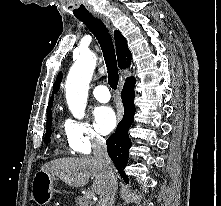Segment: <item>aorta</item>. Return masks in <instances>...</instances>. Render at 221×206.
Returning <instances> with one entry per match:
<instances>
[{
  "mask_svg": "<svg viewBox=\"0 0 221 206\" xmlns=\"http://www.w3.org/2000/svg\"><path fill=\"white\" fill-rule=\"evenodd\" d=\"M96 61L97 57L94 53H81L67 76L65 84L67 104L74 117L78 119L85 116L89 83Z\"/></svg>",
  "mask_w": 221,
  "mask_h": 206,
  "instance_id": "1",
  "label": "aorta"
}]
</instances>
